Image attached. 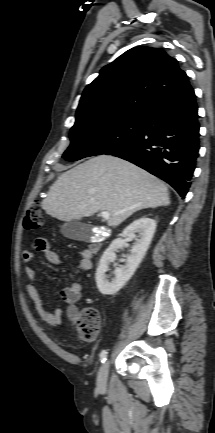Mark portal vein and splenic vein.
Instances as JSON below:
<instances>
[{
  "mask_svg": "<svg viewBox=\"0 0 215 433\" xmlns=\"http://www.w3.org/2000/svg\"><path fill=\"white\" fill-rule=\"evenodd\" d=\"M100 215H101L102 218H104V219H109L110 216H111V214H110L109 212H107V211H102Z\"/></svg>",
  "mask_w": 215,
  "mask_h": 433,
  "instance_id": "obj_1",
  "label": "portal vein and splenic vein"
}]
</instances>
